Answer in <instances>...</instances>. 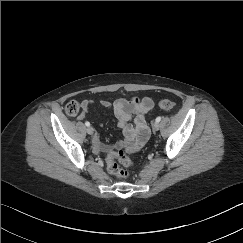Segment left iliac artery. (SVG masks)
Segmentation results:
<instances>
[{
	"label": "left iliac artery",
	"mask_w": 243,
	"mask_h": 243,
	"mask_svg": "<svg viewBox=\"0 0 243 243\" xmlns=\"http://www.w3.org/2000/svg\"><path fill=\"white\" fill-rule=\"evenodd\" d=\"M155 121L159 123L161 121V117H157Z\"/></svg>",
	"instance_id": "44dca946"
}]
</instances>
